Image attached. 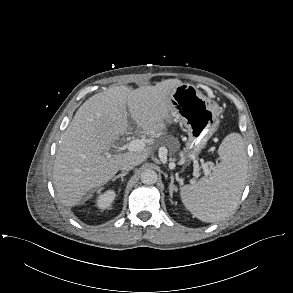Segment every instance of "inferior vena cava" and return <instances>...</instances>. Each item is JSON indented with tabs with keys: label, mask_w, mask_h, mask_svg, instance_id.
<instances>
[{
	"label": "inferior vena cava",
	"mask_w": 293,
	"mask_h": 293,
	"mask_svg": "<svg viewBox=\"0 0 293 293\" xmlns=\"http://www.w3.org/2000/svg\"><path fill=\"white\" fill-rule=\"evenodd\" d=\"M134 166H136V162L134 160L125 158L120 165V169L123 171H129L132 170Z\"/></svg>",
	"instance_id": "1"
}]
</instances>
